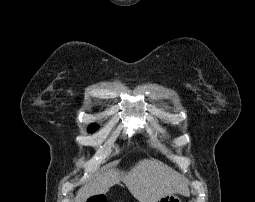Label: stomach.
<instances>
[{
  "label": "stomach",
  "instance_id": "obj_1",
  "mask_svg": "<svg viewBox=\"0 0 255 202\" xmlns=\"http://www.w3.org/2000/svg\"><path fill=\"white\" fill-rule=\"evenodd\" d=\"M157 202H182V200L176 193H172L163 196Z\"/></svg>",
  "mask_w": 255,
  "mask_h": 202
}]
</instances>
